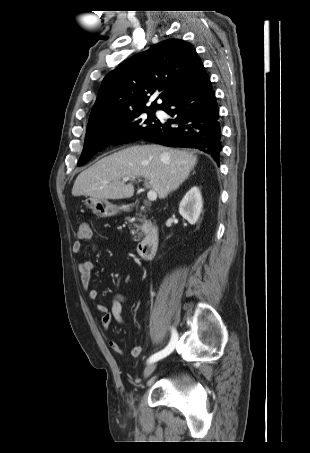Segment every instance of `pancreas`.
Listing matches in <instances>:
<instances>
[{
    "label": "pancreas",
    "mask_w": 310,
    "mask_h": 453,
    "mask_svg": "<svg viewBox=\"0 0 310 453\" xmlns=\"http://www.w3.org/2000/svg\"><path fill=\"white\" fill-rule=\"evenodd\" d=\"M126 219L128 220L129 217H127ZM141 222L142 224L140 226L135 224L136 229L132 231L135 241H139L140 237L148 229L149 226V222L147 220H141Z\"/></svg>",
    "instance_id": "1"
}]
</instances>
